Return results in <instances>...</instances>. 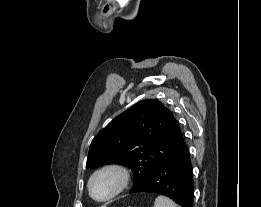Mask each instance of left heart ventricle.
Masks as SVG:
<instances>
[{
	"label": "left heart ventricle",
	"mask_w": 261,
	"mask_h": 207,
	"mask_svg": "<svg viewBox=\"0 0 261 207\" xmlns=\"http://www.w3.org/2000/svg\"><path fill=\"white\" fill-rule=\"evenodd\" d=\"M116 178L112 174H102L96 177L92 183V192L96 198L107 197L116 186Z\"/></svg>",
	"instance_id": "left-heart-ventricle-1"
}]
</instances>
